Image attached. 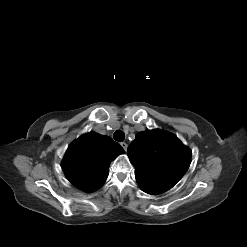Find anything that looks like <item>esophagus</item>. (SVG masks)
Masks as SVG:
<instances>
[{"label": "esophagus", "instance_id": "34e87169", "mask_svg": "<svg viewBox=\"0 0 247 247\" xmlns=\"http://www.w3.org/2000/svg\"><path fill=\"white\" fill-rule=\"evenodd\" d=\"M121 146H122V148L124 149V151H127V147H128L127 143L122 142V143H121Z\"/></svg>", "mask_w": 247, "mask_h": 247}]
</instances>
